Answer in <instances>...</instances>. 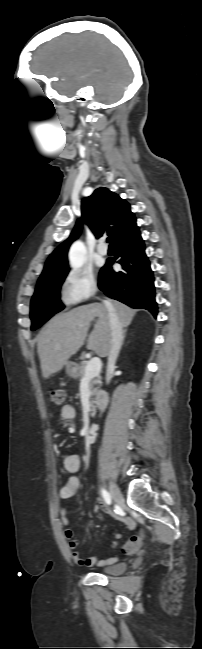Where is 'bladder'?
<instances>
[{
	"label": "bladder",
	"mask_w": 202,
	"mask_h": 649,
	"mask_svg": "<svg viewBox=\"0 0 202 649\" xmlns=\"http://www.w3.org/2000/svg\"><path fill=\"white\" fill-rule=\"evenodd\" d=\"M126 568L127 564L125 562H117L102 569L101 572L107 575H119L122 574Z\"/></svg>",
	"instance_id": "31cf9c89"
}]
</instances>
